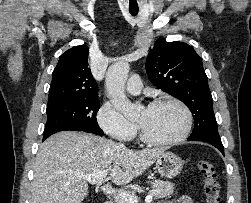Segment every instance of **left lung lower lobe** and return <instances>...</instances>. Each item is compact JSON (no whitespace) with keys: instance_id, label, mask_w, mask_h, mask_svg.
Wrapping results in <instances>:
<instances>
[{"instance_id":"left-lung-lower-lobe-1","label":"left lung lower lobe","mask_w":251,"mask_h":203,"mask_svg":"<svg viewBox=\"0 0 251 203\" xmlns=\"http://www.w3.org/2000/svg\"><path fill=\"white\" fill-rule=\"evenodd\" d=\"M189 141H204L210 143L214 147H216L223 155H224V148L221 142V139H214V138H188Z\"/></svg>"}]
</instances>
